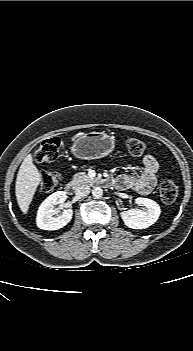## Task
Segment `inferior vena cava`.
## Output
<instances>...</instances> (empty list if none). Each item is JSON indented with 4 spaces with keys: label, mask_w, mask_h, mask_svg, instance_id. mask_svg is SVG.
Wrapping results in <instances>:
<instances>
[{
    "label": "inferior vena cava",
    "mask_w": 193,
    "mask_h": 351,
    "mask_svg": "<svg viewBox=\"0 0 193 351\" xmlns=\"http://www.w3.org/2000/svg\"><path fill=\"white\" fill-rule=\"evenodd\" d=\"M90 193V186L87 184H81L76 188V194L84 197Z\"/></svg>",
    "instance_id": "inferior-vena-cava-1"
}]
</instances>
